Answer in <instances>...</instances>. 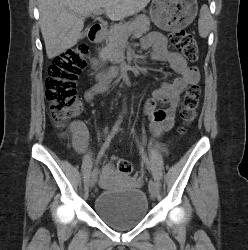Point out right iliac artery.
<instances>
[{
  "instance_id": "1",
  "label": "right iliac artery",
  "mask_w": 248,
  "mask_h": 250,
  "mask_svg": "<svg viewBox=\"0 0 248 250\" xmlns=\"http://www.w3.org/2000/svg\"><path fill=\"white\" fill-rule=\"evenodd\" d=\"M122 118L123 116L120 115L118 120L115 122L114 126L112 127V130L110 132V134L108 135V137L105 140V143L103 144V151L109 146L111 139L115 136V134L118 132L120 124L122 122ZM100 155H102V152H100ZM96 170V168H94V171Z\"/></svg>"
}]
</instances>
